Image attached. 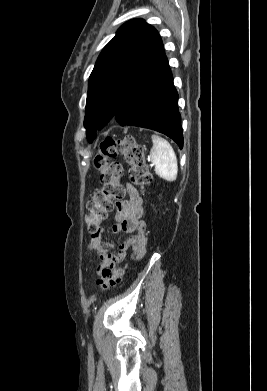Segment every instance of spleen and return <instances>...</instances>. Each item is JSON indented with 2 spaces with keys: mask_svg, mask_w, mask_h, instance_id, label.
<instances>
[{
  "mask_svg": "<svg viewBox=\"0 0 267 391\" xmlns=\"http://www.w3.org/2000/svg\"><path fill=\"white\" fill-rule=\"evenodd\" d=\"M153 146L150 159L155 165V173L166 181L173 182L177 178V158L172 146L164 138L152 135Z\"/></svg>",
  "mask_w": 267,
  "mask_h": 391,
  "instance_id": "1",
  "label": "spleen"
}]
</instances>
